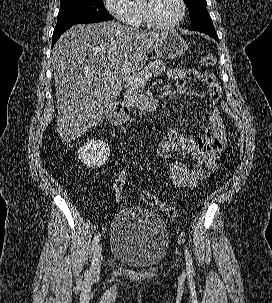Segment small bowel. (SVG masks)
Masks as SVG:
<instances>
[{
    "instance_id": "c3829d8e",
    "label": "small bowel",
    "mask_w": 272,
    "mask_h": 303,
    "mask_svg": "<svg viewBox=\"0 0 272 303\" xmlns=\"http://www.w3.org/2000/svg\"><path fill=\"white\" fill-rule=\"evenodd\" d=\"M167 75L174 81L198 80L208 89L211 106L206 124L198 135H189L175 128L165 131L157 146V153L165 159L175 160L169 169V178L175 188H196L217 171L218 161L227 143V132L220 109L216 106L222 90L214 76L192 69L170 68ZM187 159L189 164L184 161Z\"/></svg>"
}]
</instances>
